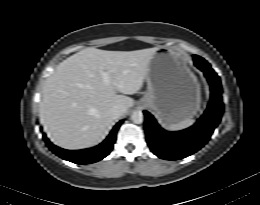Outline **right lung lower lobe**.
Wrapping results in <instances>:
<instances>
[{"instance_id": "right-lung-lower-lobe-1", "label": "right lung lower lobe", "mask_w": 260, "mask_h": 205, "mask_svg": "<svg viewBox=\"0 0 260 205\" xmlns=\"http://www.w3.org/2000/svg\"><path fill=\"white\" fill-rule=\"evenodd\" d=\"M122 123L123 121L117 123L116 126L111 131L110 135L100 145L89 149L75 150V151L65 150L53 145L46 138L45 134L43 135V139L45 140L50 150H52L59 157L76 164H90L103 159L110 153V151L113 148V144L115 143L116 140L117 130Z\"/></svg>"}]
</instances>
